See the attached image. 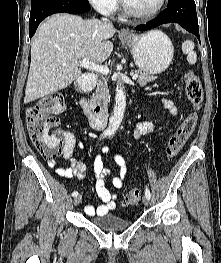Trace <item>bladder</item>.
Masks as SVG:
<instances>
[{
	"mask_svg": "<svg viewBox=\"0 0 221 263\" xmlns=\"http://www.w3.org/2000/svg\"><path fill=\"white\" fill-rule=\"evenodd\" d=\"M91 223L105 232L122 231L131 225L129 220L122 219L118 214L96 215L91 218Z\"/></svg>",
	"mask_w": 221,
	"mask_h": 263,
	"instance_id": "obj_1",
	"label": "bladder"
}]
</instances>
